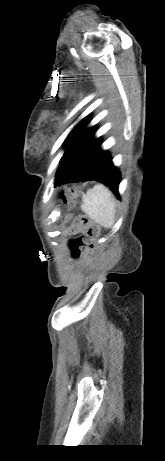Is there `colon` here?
I'll list each match as a JSON object with an SVG mask.
<instances>
[{
	"instance_id": "obj_1",
	"label": "colon",
	"mask_w": 165,
	"mask_h": 461,
	"mask_svg": "<svg viewBox=\"0 0 165 461\" xmlns=\"http://www.w3.org/2000/svg\"><path fill=\"white\" fill-rule=\"evenodd\" d=\"M65 196L67 197V202L70 203V193H67ZM81 220H82V222L85 223V224H90L89 220H88L87 218H85V217H82ZM90 229L92 230V233L96 232V228L90 227ZM82 245H83V246H90V245H89V240H88V242H83ZM83 246H82V247H83Z\"/></svg>"
}]
</instances>
